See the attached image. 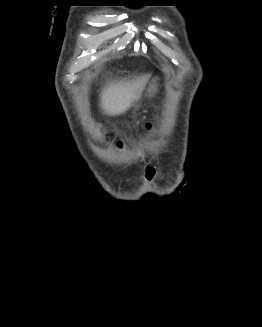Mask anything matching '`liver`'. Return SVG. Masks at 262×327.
Returning a JSON list of instances; mask_svg holds the SVG:
<instances>
[{
  "instance_id": "6515ba94",
  "label": "liver",
  "mask_w": 262,
  "mask_h": 327,
  "mask_svg": "<svg viewBox=\"0 0 262 327\" xmlns=\"http://www.w3.org/2000/svg\"><path fill=\"white\" fill-rule=\"evenodd\" d=\"M148 80L149 75H145L132 81L109 83L101 94V108L110 116L125 113L140 98Z\"/></svg>"
}]
</instances>
